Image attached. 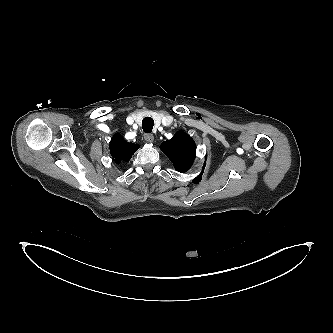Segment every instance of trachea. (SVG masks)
I'll list each match as a JSON object with an SVG mask.
<instances>
[{"label":"trachea","instance_id":"1","mask_svg":"<svg viewBox=\"0 0 333 333\" xmlns=\"http://www.w3.org/2000/svg\"><path fill=\"white\" fill-rule=\"evenodd\" d=\"M154 120L151 117H145L142 120V128L145 133L152 132Z\"/></svg>","mask_w":333,"mask_h":333}]
</instances>
